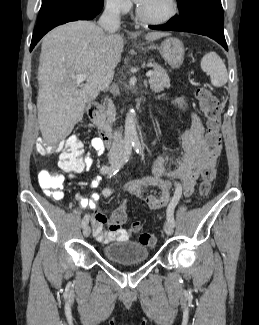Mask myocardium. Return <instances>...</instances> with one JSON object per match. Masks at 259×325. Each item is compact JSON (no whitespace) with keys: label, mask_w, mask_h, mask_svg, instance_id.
<instances>
[{"label":"myocardium","mask_w":259,"mask_h":325,"mask_svg":"<svg viewBox=\"0 0 259 325\" xmlns=\"http://www.w3.org/2000/svg\"><path fill=\"white\" fill-rule=\"evenodd\" d=\"M168 10L165 14L161 16H150L146 14L142 6H138L137 14L139 18L147 23L151 24H164L172 20L178 13V3L177 0H167Z\"/></svg>","instance_id":"obj_1"}]
</instances>
